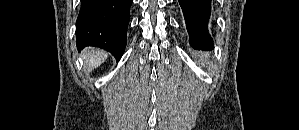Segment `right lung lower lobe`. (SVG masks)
Returning <instances> with one entry per match:
<instances>
[{
  "label": "right lung lower lobe",
  "mask_w": 299,
  "mask_h": 130,
  "mask_svg": "<svg viewBox=\"0 0 299 130\" xmlns=\"http://www.w3.org/2000/svg\"><path fill=\"white\" fill-rule=\"evenodd\" d=\"M132 0H82L76 21V45L79 50L95 46L113 54L124 53Z\"/></svg>",
  "instance_id": "1"
}]
</instances>
